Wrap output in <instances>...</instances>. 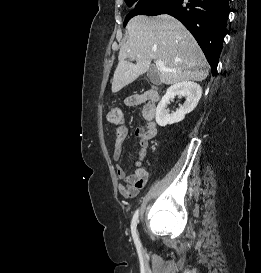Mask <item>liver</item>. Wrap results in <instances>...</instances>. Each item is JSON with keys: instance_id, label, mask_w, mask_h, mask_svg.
<instances>
[{"instance_id": "6515ba94", "label": "liver", "mask_w": 261, "mask_h": 273, "mask_svg": "<svg viewBox=\"0 0 261 273\" xmlns=\"http://www.w3.org/2000/svg\"><path fill=\"white\" fill-rule=\"evenodd\" d=\"M128 39L121 46L112 92L117 93L150 69L151 61L164 62L172 72L156 69L166 85L202 81L209 74L207 60L191 33L174 17L138 15L127 25ZM136 60V64L129 60Z\"/></svg>"}]
</instances>
